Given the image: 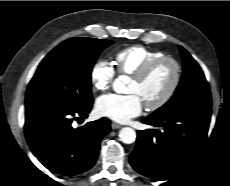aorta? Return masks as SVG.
Instances as JSON below:
<instances>
[{
	"label": "aorta",
	"instance_id": "obj_1",
	"mask_svg": "<svg viewBox=\"0 0 230 186\" xmlns=\"http://www.w3.org/2000/svg\"><path fill=\"white\" fill-rule=\"evenodd\" d=\"M123 86V77L116 79L113 85L116 92H121ZM119 138L123 143L131 144L136 140V132L130 127H124L119 132Z\"/></svg>",
	"mask_w": 230,
	"mask_h": 186
}]
</instances>
